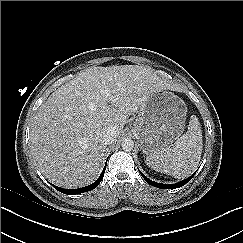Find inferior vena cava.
<instances>
[{
  "label": "inferior vena cava",
  "instance_id": "inferior-vena-cava-1",
  "mask_svg": "<svg viewBox=\"0 0 243 243\" xmlns=\"http://www.w3.org/2000/svg\"><path fill=\"white\" fill-rule=\"evenodd\" d=\"M116 137H117V132L114 128H107L102 133V140H103V143L106 145L113 143L115 141Z\"/></svg>",
  "mask_w": 243,
  "mask_h": 243
}]
</instances>
